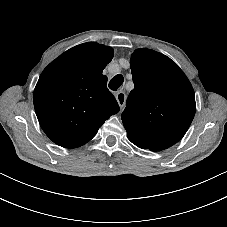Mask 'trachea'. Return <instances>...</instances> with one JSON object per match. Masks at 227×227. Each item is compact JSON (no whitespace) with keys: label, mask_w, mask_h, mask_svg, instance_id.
Wrapping results in <instances>:
<instances>
[{"label":"trachea","mask_w":227,"mask_h":227,"mask_svg":"<svg viewBox=\"0 0 227 227\" xmlns=\"http://www.w3.org/2000/svg\"><path fill=\"white\" fill-rule=\"evenodd\" d=\"M123 81V76L121 74H117L109 82V88L116 91L122 85Z\"/></svg>","instance_id":"1"}]
</instances>
